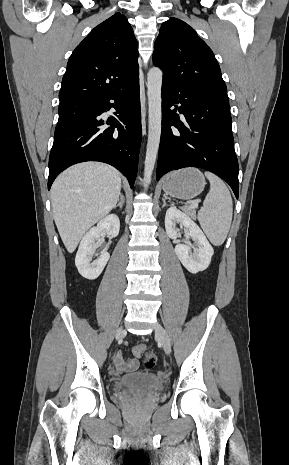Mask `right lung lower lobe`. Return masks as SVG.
<instances>
[{
  "instance_id": "98d812e1",
  "label": "right lung lower lobe",
  "mask_w": 289,
  "mask_h": 465,
  "mask_svg": "<svg viewBox=\"0 0 289 465\" xmlns=\"http://www.w3.org/2000/svg\"><path fill=\"white\" fill-rule=\"evenodd\" d=\"M110 100H115L116 104H111ZM111 107L116 113L104 120L101 115ZM141 132L139 77H136L122 89L91 101L87 115L55 129L48 189L60 172L84 161L111 164L133 187Z\"/></svg>"
}]
</instances>
